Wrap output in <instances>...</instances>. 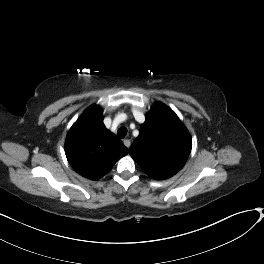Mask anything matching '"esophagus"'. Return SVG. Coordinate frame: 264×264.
I'll list each match as a JSON object with an SVG mask.
<instances>
[{"mask_svg": "<svg viewBox=\"0 0 264 264\" xmlns=\"http://www.w3.org/2000/svg\"><path fill=\"white\" fill-rule=\"evenodd\" d=\"M123 143H124V145H125L126 147H130V145H131V141H130L129 139H124V140H123Z\"/></svg>", "mask_w": 264, "mask_h": 264, "instance_id": "esophagus-1", "label": "esophagus"}]
</instances>
